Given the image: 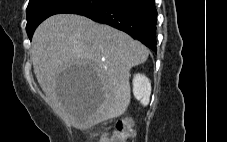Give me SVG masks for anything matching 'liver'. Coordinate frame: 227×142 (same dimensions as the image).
<instances>
[{"label": "liver", "instance_id": "obj_1", "mask_svg": "<svg viewBox=\"0 0 227 142\" xmlns=\"http://www.w3.org/2000/svg\"><path fill=\"white\" fill-rule=\"evenodd\" d=\"M35 76L52 108L78 129H88L127 110L130 70L144 63L149 50L126 33L76 14L49 17L32 39ZM90 65L91 88H64L60 68ZM73 93V95H71Z\"/></svg>", "mask_w": 227, "mask_h": 142}]
</instances>
